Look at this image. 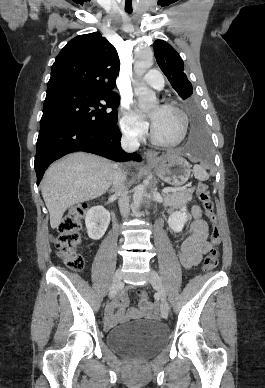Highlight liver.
Returning a JSON list of instances; mask_svg holds the SVG:
<instances>
[{"instance_id": "1", "label": "liver", "mask_w": 265, "mask_h": 388, "mask_svg": "<svg viewBox=\"0 0 265 388\" xmlns=\"http://www.w3.org/2000/svg\"><path fill=\"white\" fill-rule=\"evenodd\" d=\"M116 168L117 164L110 160L83 152L69 154L52 164L41 182L52 230L58 228L67 208L105 194Z\"/></svg>"}]
</instances>
